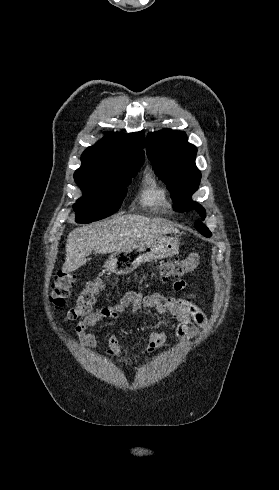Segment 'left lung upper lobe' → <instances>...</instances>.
Here are the masks:
<instances>
[{
    "label": "left lung upper lobe",
    "instance_id": "obj_1",
    "mask_svg": "<svg viewBox=\"0 0 279 490\" xmlns=\"http://www.w3.org/2000/svg\"><path fill=\"white\" fill-rule=\"evenodd\" d=\"M146 151L159 177L171 191L176 210L196 209L204 219L205 209L191 200V195L198 189L201 173L195 165L197 149L187 142L185 132L164 129L149 133ZM195 228L205 237L212 235L201 222H197Z\"/></svg>",
    "mask_w": 279,
    "mask_h": 490
}]
</instances>
